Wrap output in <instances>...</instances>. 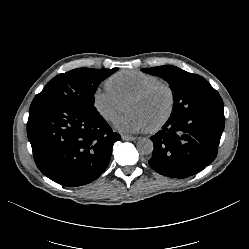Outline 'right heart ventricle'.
Listing matches in <instances>:
<instances>
[{
  "label": "right heart ventricle",
  "instance_id": "1",
  "mask_svg": "<svg viewBox=\"0 0 249 249\" xmlns=\"http://www.w3.org/2000/svg\"><path fill=\"white\" fill-rule=\"evenodd\" d=\"M157 81L160 79L150 73L139 70H122L106 80V87L125 102L139 90Z\"/></svg>",
  "mask_w": 249,
  "mask_h": 249
}]
</instances>
